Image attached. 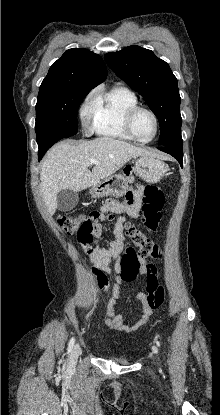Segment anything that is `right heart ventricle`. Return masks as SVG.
I'll return each mask as SVG.
<instances>
[{
    "label": "right heart ventricle",
    "instance_id": "e07e8e85",
    "mask_svg": "<svg viewBox=\"0 0 220 415\" xmlns=\"http://www.w3.org/2000/svg\"><path fill=\"white\" fill-rule=\"evenodd\" d=\"M93 130L103 137L133 140L125 129L127 111L138 105L137 96L129 89L116 87L98 93L93 100Z\"/></svg>",
    "mask_w": 220,
    "mask_h": 415
}]
</instances>
